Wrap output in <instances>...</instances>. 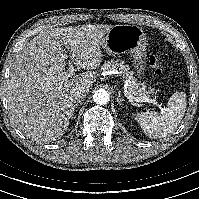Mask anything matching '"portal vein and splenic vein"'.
Returning <instances> with one entry per match:
<instances>
[{
    "mask_svg": "<svg viewBox=\"0 0 199 199\" xmlns=\"http://www.w3.org/2000/svg\"><path fill=\"white\" fill-rule=\"evenodd\" d=\"M68 66H69V69H68L66 72H63L62 74H65L67 77H71V76H73L75 69H74V67L72 66L71 63H69ZM125 94H126V96L128 97V99H129L130 101L148 102V103L153 104L154 106L159 107L160 109L162 108V107H161V104H159V103H158L157 101H155L154 99H150V98H147V97H134V96H132L131 94H129V92H128L127 90L125 91Z\"/></svg>",
    "mask_w": 199,
    "mask_h": 199,
    "instance_id": "18ae733b",
    "label": "portal vein and splenic vein"
}]
</instances>
